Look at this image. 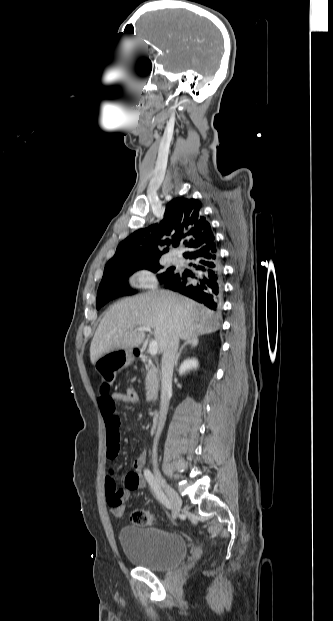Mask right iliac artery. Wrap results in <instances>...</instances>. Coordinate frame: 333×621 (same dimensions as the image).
I'll return each instance as SVG.
<instances>
[{
	"instance_id": "obj_1",
	"label": "right iliac artery",
	"mask_w": 333,
	"mask_h": 621,
	"mask_svg": "<svg viewBox=\"0 0 333 621\" xmlns=\"http://www.w3.org/2000/svg\"><path fill=\"white\" fill-rule=\"evenodd\" d=\"M144 476H145L148 484L150 485L152 491L154 492L155 496L157 497V499L167 509H171L172 505H171L170 501L168 500V498L166 497V495L164 494V492L162 491V489L158 485L157 481L155 480L153 474L151 473V471L149 469H145L144 470Z\"/></svg>"
}]
</instances>
